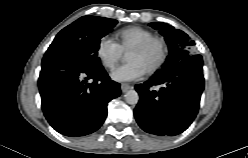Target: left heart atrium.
<instances>
[{
	"label": "left heart atrium",
	"mask_w": 248,
	"mask_h": 158,
	"mask_svg": "<svg viewBox=\"0 0 248 158\" xmlns=\"http://www.w3.org/2000/svg\"><path fill=\"white\" fill-rule=\"evenodd\" d=\"M145 73L146 70L138 62L131 61L115 69L111 77L118 82H132L141 79Z\"/></svg>",
	"instance_id": "obj_1"
}]
</instances>
